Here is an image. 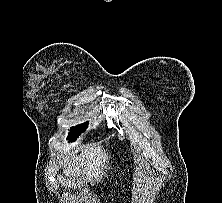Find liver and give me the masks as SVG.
Instances as JSON below:
<instances>
[{
  "label": "liver",
  "instance_id": "obj_1",
  "mask_svg": "<svg viewBox=\"0 0 222 203\" xmlns=\"http://www.w3.org/2000/svg\"><path fill=\"white\" fill-rule=\"evenodd\" d=\"M108 153L99 144H93L82 150L80 155H75L65 162H61L63 166V174L66 177L64 186L75 187L76 178L78 184H87L96 180L100 182L103 176H106V171L110 166L105 165L109 163ZM105 170V171H104Z\"/></svg>",
  "mask_w": 222,
  "mask_h": 203
}]
</instances>
